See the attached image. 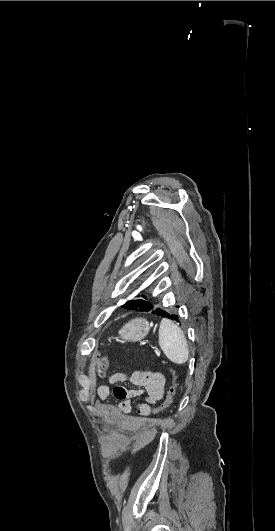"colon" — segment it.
Wrapping results in <instances>:
<instances>
[{"mask_svg": "<svg viewBox=\"0 0 275 531\" xmlns=\"http://www.w3.org/2000/svg\"><path fill=\"white\" fill-rule=\"evenodd\" d=\"M105 356H107V353H104V356H99L94 363L96 375L99 379H104L107 374L109 359ZM176 388L177 383L176 377L174 376V381L168 387L165 397H162L160 401L157 402L154 408L153 418L161 417L166 407L172 402L173 396L176 392Z\"/></svg>", "mask_w": 275, "mask_h": 531, "instance_id": "5ec220e1", "label": "colon"}]
</instances>
